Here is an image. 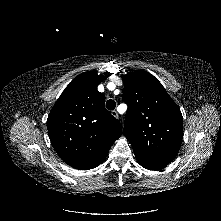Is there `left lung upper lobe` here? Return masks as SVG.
Listing matches in <instances>:
<instances>
[{
    "instance_id": "obj_1",
    "label": "left lung upper lobe",
    "mask_w": 221,
    "mask_h": 221,
    "mask_svg": "<svg viewBox=\"0 0 221 221\" xmlns=\"http://www.w3.org/2000/svg\"><path fill=\"white\" fill-rule=\"evenodd\" d=\"M127 103L124 135L141 161L168 165L179 151L183 117L161 83L146 71L122 75Z\"/></svg>"
}]
</instances>
